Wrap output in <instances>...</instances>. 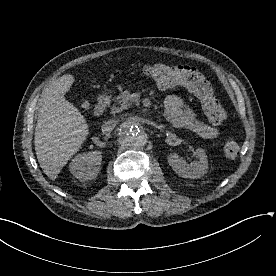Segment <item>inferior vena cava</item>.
I'll return each instance as SVG.
<instances>
[{
	"instance_id": "602c4592",
	"label": "inferior vena cava",
	"mask_w": 276,
	"mask_h": 276,
	"mask_svg": "<svg viewBox=\"0 0 276 276\" xmlns=\"http://www.w3.org/2000/svg\"><path fill=\"white\" fill-rule=\"evenodd\" d=\"M118 121L116 120H109L105 122V124L102 126L103 133H109L113 130V128L117 125Z\"/></svg>"
}]
</instances>
